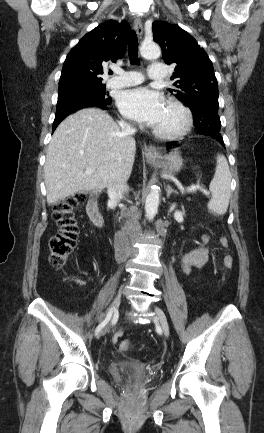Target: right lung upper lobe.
<instances>
[{"mask_svg": "<svg viewBox=\"0 0 264 433\" xmlns=\"http://www.w3.org/2000/svg\"><path fill=\"white\" fill-rule=\"evenodd\" d=\"M130 25L108 20L87 33L67 55L59 92L75 86L102 84L104 68L124 56Z\"/></svg>", "mask_w": 264, "mask_h": 433, "instance_id": "obj_1", "label": "right lung upper lobe"}]
</instances>
